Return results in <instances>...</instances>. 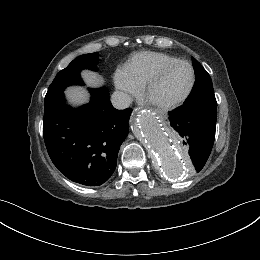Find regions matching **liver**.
Instances as JSON below:
<instances>
[{"instance_id": "6515ba94", "label": "liver", "mask_w": 260, "mask_h": 260, "mask_svg": "<svg viewBox=\"0 0 260 260\" xmlns=\"http://www.w3.org/2000/svg\"><path fill=\"white\" fill-rule=\"evenodd\" d=\"M83 78L91 86H98L102 83V79L93 72L84 71ZM68 101L73 105H80L88 101V94L80 87H71L66 90Z\"/></svg>"}]
</instances>
